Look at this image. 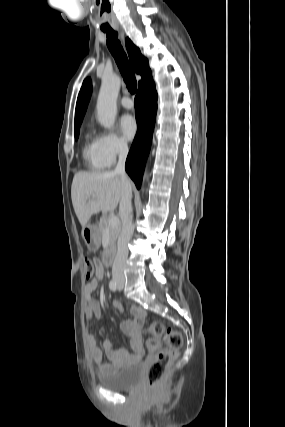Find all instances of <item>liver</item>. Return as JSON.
Returning a JSON list of instances; mask_svg holds the SVG:
<instances>
[{
    "label": "liver",
    "instance_id": "liver-1",
    "mask_svg": "<svg viewBox=\"0 0 285 427\" xmlns=\"http://www.w3.org/2000/svg\"><path fill=\"white\" fill-rule=\"evenodd\" d=\"M122 193V178L112 171L76 173L71 186V199L81 226L84 228L95 213L115 210Z\"/></svg>",
    "mask_w": 285,
    "mask_h": 427
}]
</instances>
